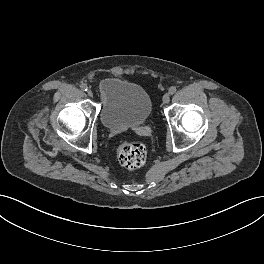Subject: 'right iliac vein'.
<instances>
[{
  "mask_svg": "<svg viewBox=\"0 0 264 264\" xmlns=\"http://www.w3.org/2000/svg\"><path fill=\"white\" fill-rule=\"evenodd\" d=\"M87 94H88V96L92 97V96H93V91H92L91 89H89V90L87 91Z\"/></svg>",
  "mask_w": 264,
  "mask_h": 264,
  "instance_id": "1",
  "label": "right iliac vein"
}]
</instances>
